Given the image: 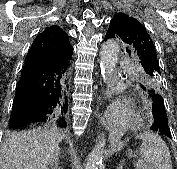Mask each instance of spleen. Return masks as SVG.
<instances>
[{"instance_id": "1", "label": "spleen", "mask_w": 177, "mask_h": 169, "mask_svg": "<svg viewBox=\"0 0 177 169\" xmlns=\"http://www.w3.org/2000/svg\"><path fill=\"white\" fill-rule=\"evenodd\" d=\"M137 138L142 143L139 147L140 159L134 164L135 169H172L169 148L158 134L144 132Z\"/></svg>"}]
</instances>
